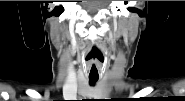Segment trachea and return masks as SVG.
I'll use <instances>...</instances> for the list:
<instances>
[{"label": "trachea", "mask_w": 185, "mask_h": 101, "mask_svg": "<svg viewBox=\"0 0 185 101\" xmlns=\"http://www.w3.org/2000/svg\"><path fill=\"white\" fill-rule=\"evenodd\" d=\"M99 79L98 68L95 64L90 67L89 73V83L90 85H94Z\"/></svg>", "instance_id": "1"}]
</instances>
